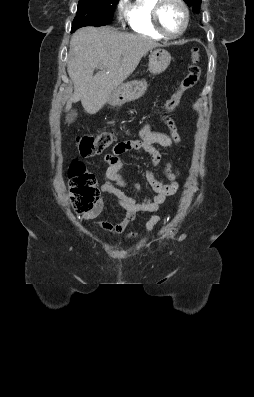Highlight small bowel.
Here are the masks:
<instances>
[{"instance_id": "obj_1", "label": "small bowel", "mask_w": 254, "mask_h": 397, "mask_svg": "<svg viewBox=\"0 0 254 397\" xmlns=\"http://www.w3.org/2000/svg\"><path fill=\"white\" fill-rule=\"evenodd\" d=\"M163 121L169 128V134L153 131L150 122L146 121L139 131L140 139L119 142L112 148L111 152L104 157L108 167L103 172L104 183L100 187V198L94 208L82 216L83 220L94 219L101 213L104 204L103 195L107 194L111 196L125 212V217L121 222L116 224L107 222L93 223L109 234H119L135 219L137 213L157 211L167 197L173 195L177 191V177L179 176V171L173 169L171 162H168L164 168L165 174L170 181L168 184L161 183L154 175V169L161 160V154L156 146L171 148L181 142V136L175 122L167 117H165ZM139 150L146 152L150 157L149 168L145 171V178L151 189L155 192L153 197L143 196L138 183L128 182L120 174L123 166L120 156L130 151ZM125 189L133 190L136 193V198L126 195L124 192ZM158 222L159 217L152 216L145 225V232H151ZM137 237H139L138 233H131L128 235L129 239Z\"/></svg>"}]
</instances>
